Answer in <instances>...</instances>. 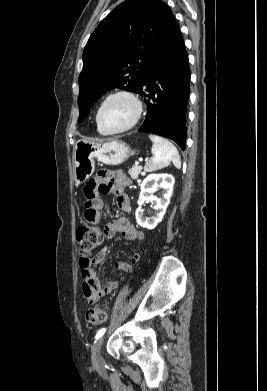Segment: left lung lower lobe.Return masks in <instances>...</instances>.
<instances>
[{
	"label": "left lung lower lobe",
	"mask_w": 267,
	"mask_h": 391,
	"mask_svg": "<svg viewBox=\"0 0 267 391\" xmlns=\"http://www.w3.org/2000/svg\"><path fill=\"white\" fill-rule=\"evenodd\" d=\"M189 82L188 56L178 29L153 57L137 91L147 97L146 119L138 131L172 139L184 150Z\"/></svg>",
	"instance_id": "obj_1"
}]
</instances>
